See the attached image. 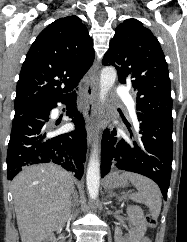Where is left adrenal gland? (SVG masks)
Here are the masks:
<instances>
[{
    "mask_svg": "<svg viewBox=\"0 0 187 242\" xmlns=\"http://www.w3.org/2000/svg\"><path fill=\"white\" fill-rule=\"evenodd\" d=\"M107 193H108V199H110L111 197H116V198H118V196L113 192V191H107Z\"/></svg>",
    "mask_w": 187,
    "mask_h": 242,
    "instance_id": "left-adrenal-gland-1",
    "label": "left adrenal gland"
}]
</instances>
